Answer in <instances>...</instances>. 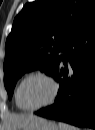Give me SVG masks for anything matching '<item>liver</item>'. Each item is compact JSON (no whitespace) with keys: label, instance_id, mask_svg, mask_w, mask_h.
Listing matches in <instances>:
<instances>
[{"label":"liver","instance_id":"liver-1","mask_svg":"<svg viewBox=\"0 0 95 130\" xmlns=\"http://www.w3.org/2000/svg\"><path fill=\"white\" fill-rule=\"evenodd\" d=\"M36 118L33 114H14L7 119L8 130H19L29 121Z\"/></svg>","mask_w":95,"mask_h":130}]
</instances>
